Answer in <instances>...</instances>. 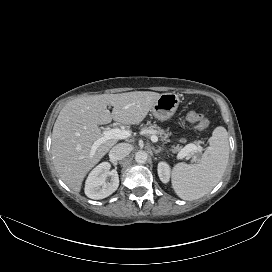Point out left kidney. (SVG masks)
<instances>
[{"mask_svg":"<svg viewBox=\"0 0 272 272\" xmlns=\"http://www.w3.org/2000/svg\"><path fill=\"white\" fill-rule=\"evenodd\" d=\"M158 176L163 183H168L170 180V167L166 162H159Z\"/></svg>","mask_w":272,"mask_h":272,"instance_id":"obj_1","label":"left kidney"}]
</instances>
